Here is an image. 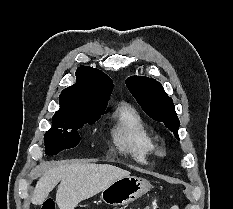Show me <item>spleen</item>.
Masks as SVG:
<instances>
[{
  "label": "spleen",
  "mask_w": 233,
  "mask_h": 209,
  "mask_svg": "<svg viewBox=\"0 0 233 209\" xmlns=\"http://www.w3.org/2000/svg\"><path fill=\"white\" fill-rule=\"evenodd\" d=\"M171 209H179L178 206H173Z\"/></svg>",
  "instance_id": "1"
}]
</instances>
